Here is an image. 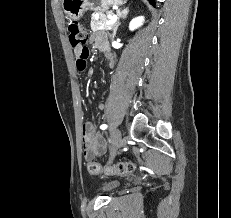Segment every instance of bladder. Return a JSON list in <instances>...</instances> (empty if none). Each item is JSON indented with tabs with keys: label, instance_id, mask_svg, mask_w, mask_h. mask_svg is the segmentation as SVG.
Wrapping results in <instances>:
<instances>
[{
	"label": "bladder",
	"instance_id": "obj_1",
	"mask_svg": "<svg viewBox=\"0 0 231 218\" xmlns=\"http://www.w3.org/2000/svg\"><path fill=\"white\" fill-rule=\"evenodd\" d=\"M119 185H120V181L118 180L108 181L103 185V190L112 191L116 189L117 187H119Z\"/></svg>",
	"mask_w": 231,
	"mask_h": 218
}]
</instances>
